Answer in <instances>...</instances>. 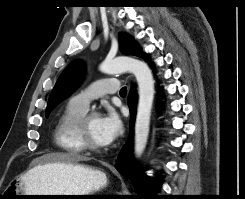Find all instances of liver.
<instances>
[{
	"label": "liver",
	"instance_id": "obj_1",
	"mask_svg": "<svg viewBox=\"0 0 245 199\" xmlns=\"http://www.w3.org/2000/svg\"><path fill=\"white\" fill-rule=\"evenodd\" d=\"M87 160H88L87 157L77 155V154L53 153V154L43 156L36 167L45 166V165L70 164V163H77L79 161H87ZM58 173L59 171L57 170L53 172L54 175H57Z\"/></svg>",
	"mask_w": 245,
	"mask_h": 199
}]
</instances>
